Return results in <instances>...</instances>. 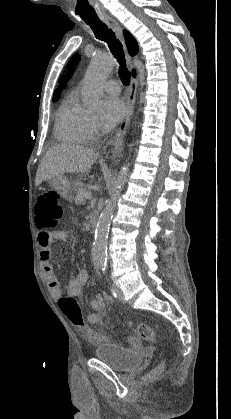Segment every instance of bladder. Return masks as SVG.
Instances as JSON below:
<instances>
[{
    "label": "bladder",
    "mask_w": 231,
    "mask_h": 419,
    "mask_svg": "<svg viewBox=\"0 0 231 419\" xmlns=\"http://www.w3.org/2000/svg\"><path fill=\"white\" fill-rule=\"evenodd\" d=\"M94 357L117 372H131L145 362V356L115 343L101 342L94 348Z\"/></svg>",
    "instance_id": "bladder-1"
}]
</instances>
